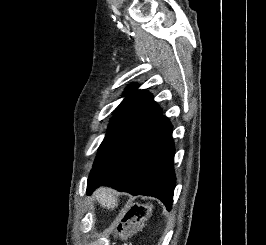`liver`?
I'll return each mask as SVG.
<instances>
[{
	"label": "liver",
	"instance_id": "liver-1",
	"mask_svg": "<svg viewBox=\"0 0 266 245\" xmlns=\"http://www.w3.org/2000/svg\"><path fill=\"white\" fill-rule=\"evenodd\" d=\"M100 207H107V209H115L118 207V199L114 197L113 191L111 189H97L94 193Z\"/></svg>",
	"mask_w": 266,
	"mask_h": 245
}]
</instances>
